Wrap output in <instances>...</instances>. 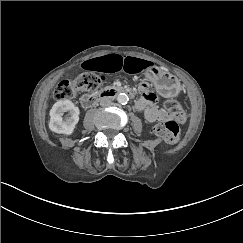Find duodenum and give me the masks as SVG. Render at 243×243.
Instances as JSON below:
<instances>
[{
  "label": "duodenum",
  "instance_id": "1",
  "mask_svg": "<svg viewBox=\"0 0 243 243\" xmlns=\"http://www.w3.org/2000/svg\"><path fill=\"white\" fill-rule=\"evenodd\" d=\"M121 93H125L130 97H134V92L129 88L112 87V88L102 90L95 94L84 95L81 98V103H82L83 107L89 108V107L94 106L96 103H98L102 99L114 98Z\"/></svg>",
  "mask_w": 243,
  "mask_h": 243
}]
</instances>
